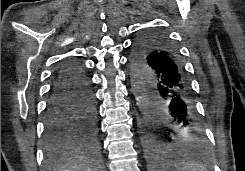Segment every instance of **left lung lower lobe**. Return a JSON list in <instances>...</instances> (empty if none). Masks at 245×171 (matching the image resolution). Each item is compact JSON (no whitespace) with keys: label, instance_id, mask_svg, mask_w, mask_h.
Wrapping results in <instances>:
<instances>
[{"label":"left lung lower lobe","instance_id":"1","mask_svg":"<svg viewBox=\"0 0 245 171\" xmlns=\"http://www.w3.org/2000/svg\"><path fill=\"white\" fill-rule=\"evenodd\" d=\"M129 67H135L137 78L147 91L152 123L165 128L163 138L155 133L144 137L149 167H164V162L181 156V152L166 148V144L189 133L197 123L189 79L174 46L159 47L149 61L129 62Z\"/></svg>","mask_w":245,"mask_h":171}]
</instances>
